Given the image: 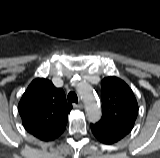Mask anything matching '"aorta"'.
I'll use <instances>...</instances> for the list:
<instances>
[{
  "label": "aorta",
  "mask_w": 160,
  "mask_h": 158,
  "mask_svg": "<svg viewBox=\"0 0 160 158\" xmlns=\"http://www.w3.org/2000/svg\"><path fill=\"white\" fill-rule=\"evenodd\" d=\"M77 90L85 103L88 121L92 123L98 122L101 118L102 112L92 89L85 83H78Z\"/></svg>",
  "instance_id": "obj_1"
}]
</instances>
